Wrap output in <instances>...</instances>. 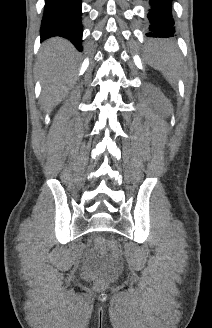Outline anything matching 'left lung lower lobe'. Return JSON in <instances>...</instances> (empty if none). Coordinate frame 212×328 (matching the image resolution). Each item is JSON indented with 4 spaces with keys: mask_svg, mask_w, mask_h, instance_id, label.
Returning <instances> with one entry per match:
<instances>
[{
    "mask_svg": "<svg viewBox=\"0 0 212 328\" xmlns=\"http://www.w3.org/2000/svg\"><path fill=\"white\" fill-rule=\"evenodd\" d=\"M151 9L148 13V37H171L175 33L174 20L171 13L172 0H149Z\"/></svg>",
    "mask_w": 212,
    "mask_h": 328,
    "instance_id": "obj_1",
    "label": "left lung lower lobe"
}]
</instances>
